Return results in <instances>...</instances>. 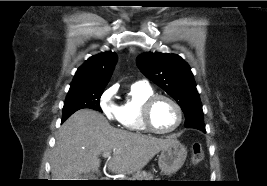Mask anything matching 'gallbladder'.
Listing matches in <instances>:
<instances>
[{
    "label": "gallbladder",
    "mask_w": 267,
    "mask_h": 186,
    "mask_svg": "<svg viewBox=\"0 0 267 186\" xmlns=\"http://www.w3.org/2000/svg\"><path fill=\"white\" fill-rule=\"evenodd\" d=\"M83 180H91L95 179V175L93 173H85L82 175Z\"/></svg>",
    "instance_id": "obj_1"
}]
</instances>
